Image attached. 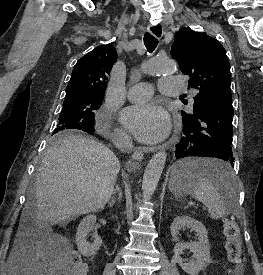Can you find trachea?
Segmentation results:
<instances>
[{
    "label": "trachea",
    "instance_id": "trachea-1",
    "mask_svg": "<svg viewBox=\"0 0 263 275\" xmlns=\"http://www.w3.org/2000/svg\"><path fill=\"white\" fill-rule=\"evenodd\" d=\"M144 44L147 50L151 53L158 45V40L150 33L146 32L144 35Z\"/></svg>",
    "mask_w": 263,
    "mask_h": 275
}]
</instances>
